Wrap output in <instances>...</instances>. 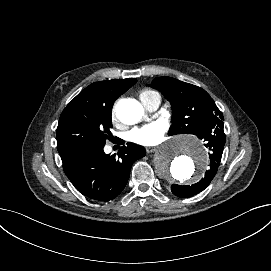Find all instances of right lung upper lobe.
Here are the masks:
<instances>
[{
  "label": "right lung upper lobe",
  "instance_id": "1",
  "mask_svg": "<svg viewBox=\"0 0 271 271\" xmlns=\"http://www.w3.org/2000/svg\"><path fill=\"white\" fill-rule=\"evenodd\" d=\"M136 79L130 78V79H119V80H107V81H101V82H95L88 87H86L81 93L93 91L95 89L100 88H112L116 90H125L126 91L136 83Z\"/></svg>",
  "mask_w": 271,
  "mask_h": 271
}]
</instances>
